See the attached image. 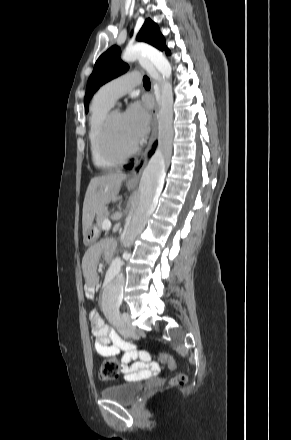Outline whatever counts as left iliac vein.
<instances>
[{"label":"left iliac vein","mask_w":291,"mask_h":440,"mask_svg":"<svg viewBox=\"0 0 291 440\" xmlns=\"http://www.w3.org/2000/svg\"><path fill=\"white\" fill-rule=\"evenodd\" d=\"M121 319H122V322H123L124 325H125L124 335H125L126 337H131V336L136 332V329H135V327L131 324L130 314L127 313V312H123V313L121 314Z\"/></svg>","instance_id":"left-iliac-vein-1"}]
</instances>
